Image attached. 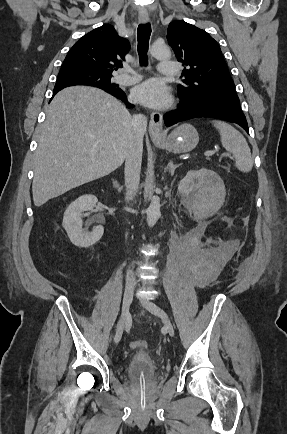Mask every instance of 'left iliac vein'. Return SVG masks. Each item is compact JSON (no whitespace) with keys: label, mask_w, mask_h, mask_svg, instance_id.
I'll list each match as a JSON object with an SVG mask.
<instances>
[{"label":"left iliac vein","mask_w":287,"mask_h":434,"mask_svg":"<svg viewBox=\"0 0 287 434\" xmlns=\"http://www.w3.org/2000/svg\"><path fill=\"white\" fill-rule=\"evenodd\" d=\"M140 303L149 312H151L155 316L159 317L163 321L164 326L167 329L169 335L173 337L175 334L174 327H173L171 321L169 320L166 312L160 306H158L154 302L150 301L149 299L141 298Z\"/></svg>","instance_id":"1"}]
</instances>
